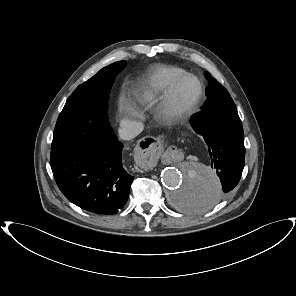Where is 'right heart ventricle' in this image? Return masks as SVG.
I'll return each mask as SVG.
<instances>
[{"label": "right heart ventricle", "instance_id": "obj_1", "mask_svg": "<svg viewBox=\"0 0 296 296\" xmlns=\"http://www.w3.org/2000/svg\"><path fill=\"white\" fill-rule=\"evenodd\" d=\"M185 73L183 69L174 66L155 68L144 85L136 93V101L144 102L158 98L176 78Z\"/></svg>", "mask_w": 296, "mask_h": 296}]
</instances>
